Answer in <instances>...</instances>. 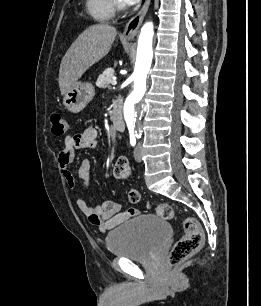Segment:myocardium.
<instances>
[{
  "label": "myocardium",
  "mask_w": 261,
  "mask_h": 306,
  "mask_svg": "<svg viewBox=\"0 0 261 306\" xmlns=\"http://www.w3.org/2000/svg\"><path fill=\"white\" fill-rule=\"evenodd\" d=\"M114 1V4L119 8V9H122L123 8V5L122 3L120 2V0H113Z\"/></svg>",
  "instance_id": "f54148a6"
}]
</instances>
